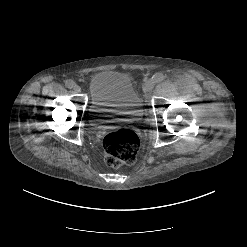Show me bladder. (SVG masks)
<instances>
[{"label":"bladder","instance_id":"obj_1","mask_svg":"<svg viewBox=\"0 0 247 247\" xmlns=\"http://www.w3.org/2000/svg\"><path fill=\"white\" fill-rule=\"evenodd\" d=\"M88 114L95 126L136 121L141 115V100L131 79L119 72L94 74L88 84Z\"/></svg>","mask_w":247,"mask_h":247}]
</instances>
